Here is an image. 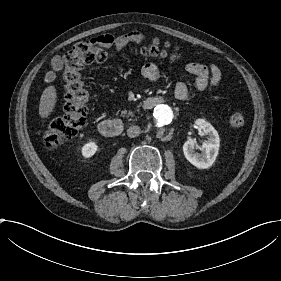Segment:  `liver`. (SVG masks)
I'll return each instance as SVG.
<instances>
[{"instance_id": "liver-1", "label": "liver", "mask_w": 281, "mask_h": 281, "mask_svg": "<svg viewBox=\"0 0 281 281\" xmlns=\"http://www.w3.org/2000/svg\"><path fill=\"white\" fill-rule=\"evenodd\" d=\"M58 102V89L54 84H49L42 92L39 103V117L46 121L54 112Z\"/></svg>"}]
</instances>
